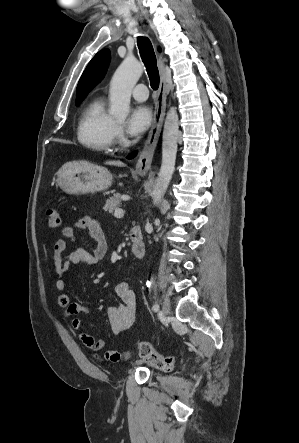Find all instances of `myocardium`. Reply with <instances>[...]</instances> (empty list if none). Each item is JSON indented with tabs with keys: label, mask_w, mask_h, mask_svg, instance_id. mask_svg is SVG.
Listing matches in <instances>:
<instances>
[{
	"label": "myocardium",
	"mask_w": 299,
	"mask_h": 443,
	"mask_svg": "<svg viewBox=\"0 0 299 443\" xmlns=\"http://www.w3.org/2000/svg\"><path fill=\"white\" fill-rule=\"evenodd\" d=\"M125 144H126L125 141H120V142H119V145H120L121 147L125 146Z\"/></svg>",
	"instance_id": "f54148a6"
}]
</instances>
